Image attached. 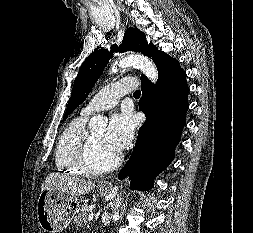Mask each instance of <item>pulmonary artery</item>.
Here are the masks:
<instances>
[{
  "label": "pulmonary artery",
  "instance_id": "pulmonary-artery-1",
  "mask_svg": "<svg viewBox=\"0 0 253 233\" xmlns=\"http://www.w3.org/2000/svg\"><path fill=\"white\" fill-rule=\"evenodd\" d=\"M137 83L133 77H123L119 81L112 83L96 95L83 107L81 113L89 115L91 113L107 110L114 107L119 99L129 92L133 91Z\"/></svg>",
  "mask_w": 253,
  "mask_h": 233
}]
</instances>
